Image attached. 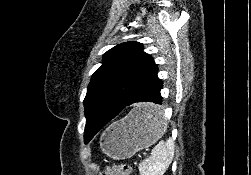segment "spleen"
Returning <instances> with one entry per match:
<instances>
[{
    "label": "spleen",
    "instance_id": "obj_1",
    "mask_svg": "<svg viewBox=\"0 0 251 175\" xmlns=\"http://www.w3.org/2000/svg\"><path fill=\"white\" fill-rule=\"evenodd\" d=\"M153 121L158 119L160 131H165L167 125L165 119H161V111H150ZM174 157V141L169 137L167 141H159L152 149L150 157L143 159L139 163V171L141 175H163L167 167H169Z\"/></svg>",
    "mask_w": 251,
    "mask_h": 175
}]
</instances>
